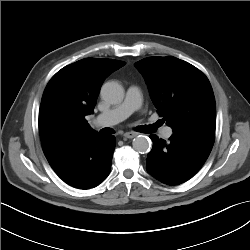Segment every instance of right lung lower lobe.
I'll return each mask as SVG.
<instances>
[{
  "label": "right lung lower lobe",
  "mask_w": 250,
  "mask_h": 250,
  "mask_svg": "<svg viewBox=\"0 0 250 250\" xmlns=\"http://www.w3.org/2000/svg\"><path fill=\"white\" fill-rule=\"evenodd\" d=\"M115 144L114 136L95 133L66 145L47 160L64 182L75 188L89 189L109 175Z\"/></svg>",
  "instance_id": "1"
}]
</instances>
